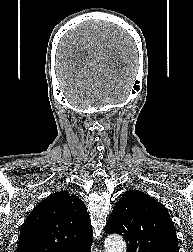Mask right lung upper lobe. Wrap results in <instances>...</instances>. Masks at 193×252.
<instances>
[{
  "instance_id": "1",
  "label": "right lung upper lobe",
  "mask_w": 193,
  "mask_h": 252,
  "mask_svg": "<svg viewBox=\"0 0 193 252\" xmlns=\"http://www.w3.org/2000/svg\"><path fill=\"white\" fill-rule=\"evenodd\" d=\"M92 241L83 201L61 191L42 200L26 218L17 252H86Z\"/></svg>"
}]
</instances>
